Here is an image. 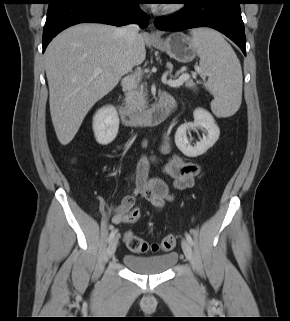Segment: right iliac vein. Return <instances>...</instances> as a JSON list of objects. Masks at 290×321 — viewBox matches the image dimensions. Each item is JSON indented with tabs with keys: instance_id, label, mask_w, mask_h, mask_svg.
I'll return each mask as SVG.
<instances>
[{
	"instance_id": "obj_1",
	"label": "right iliac vein",
	"mask_w": 290,
	"mask_h": 321,
	"mask_svg": "<svg viewBox=\"0 0 290 321\" xmlns=\"http://www.w3.org/2000/svg\"><path fill=\"white\" fill-rule=\"evenodd\" d=\"M117 241H118L117 238H113L109 243V246L107 248V255L109 258L112 257L116 251Z\"/></svg>"
}]
</instances>
